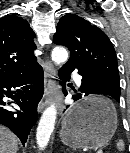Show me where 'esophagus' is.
I'll use <instances>...</instances> for the list:
<instances>
[{
  "mask_svg": "<svg viewBox=\"0 0 130 153\" xmlns=\"http://www.w3.org/2000/svg\"><path fill=\"white\" fill-rule=\"evenodd\" d=\"M55 78H56V70L53 64L49 60H47L45 65V71H44L45 97L53 99L58 108L59 114H62V112L65 109V106L63 104V97L57 88ZM42 109H43V105L39 107V111H41Z\"/></svg>",
  "mask_w": 130,
  "mask_h": 153,
  "instance_id": "esophagus-1",
  "label": "esophagus"
}]
</instances>
